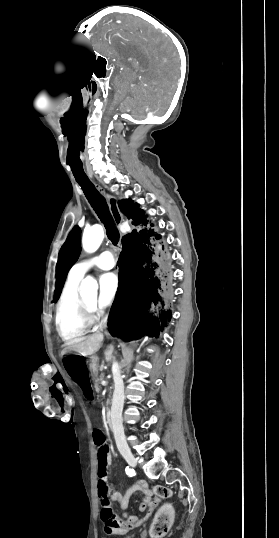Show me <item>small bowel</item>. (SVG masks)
<instances>
[{"instance_id": "1", "label": "small bowel", "mask_w": 279, "mask_h": 538, "mask_svg": "<svg viewBox=\"0 0 279 538\" xmlns=\"http://www.w3.org/2000/svg\"><path fill=\"white\" fill-rule=\"evenodd\" d=\"M111 463L112 458L109 455L107 458V466H111ZM134 491H140L144 495V499L141 501L139 509L141 512L147 510L146 514L143 517H138L136 515L127 516L126 514H123L122 516H117L114 514L111 517L102 515L107 533L126 534L130 530L139 527L143 522L148 520L153 511L156 509L158 500L153 498L152 491L144 481L135 482L124 496H122L119 492H114L111 498L118 502L121 508L124 510L126 509L129 498Z\"/></svg>"}]
</instances>
